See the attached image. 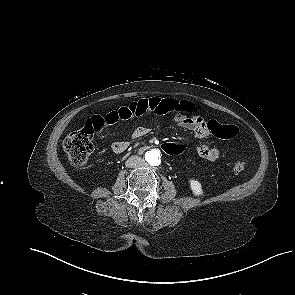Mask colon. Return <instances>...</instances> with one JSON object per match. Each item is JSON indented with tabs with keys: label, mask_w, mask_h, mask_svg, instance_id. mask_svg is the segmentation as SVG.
<instances>
[{
	"label": "colon",
	"mask_w": 295,
	"mask_h": 295,
	"mask_svg": "<svg viewBox=\"0 0 295 295\" xmlns=\"http://www.w3.org/2000/svg\"><path fill=\"white\" fill-rule=\"evenodd\" d=\"M183 108L187 113L193 114L195 106L184 101ZM104 127V121L101 116H93L88 119L84 126L76 131L69 133L64 142L63 148L67 154L68 160L75 168L82 169L87 164L88 158L94 149V136ZM208 129L212 134L222 139H232L237 136L238 127L231 123H219L216 121L208 122ZM186 142L183 139L176 141H164L161 144V150L169 156H176L179 152L185 150ZM245 161L238 160L233 165V170L239 173L244 170Z\"/></svg>",
	"instance_id": "colon-1"
}]
</instances>
